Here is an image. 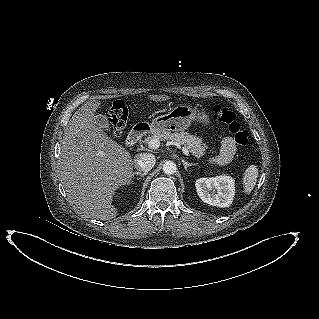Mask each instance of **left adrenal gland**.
I'll use <instances>...</instances> for the list:
<instances>
[{
    "instance_id": "a2214340",
    "label": "left adrenal gland",
    "mask_w": 319,
    "mask_h": 319,
    "mask_svg": "<svg viewBox=\"0 0 319 319\" xmlns=\"http://www.w3.org/2000/svg\"><path fill=\"white\" fill-rule=\"evenodd\" d=\"M182 163H183L185 170H187V168L190 166H197L198 165V163H189V162L185 161L184 159H182Z\"/></svg>"
}]
</instances>
